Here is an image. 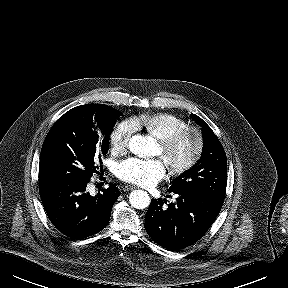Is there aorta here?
I'll return each mask as SVG.
<instances>
[{
    "label": "aorta",
    "instance_id": "aorta-1",
    "mask_svg": "<svg viewBox=\"0 0 288 288\" xmlns=\"http://www.w3.org/2000/svg\"><path fill=\"white\" fill-rule=\"evenodd\" d=\"M130 151L139 157L152 156L157 149V143L150 136L135 135L129 141ZM150 196L146 191L134 190L130 193L129 202L136 209H144L150 204Z\"/></svg>",
    "mask_w": 288,
    "mask_h": 288
}]
</instances>
